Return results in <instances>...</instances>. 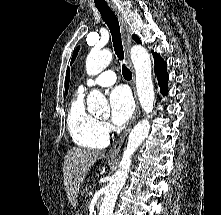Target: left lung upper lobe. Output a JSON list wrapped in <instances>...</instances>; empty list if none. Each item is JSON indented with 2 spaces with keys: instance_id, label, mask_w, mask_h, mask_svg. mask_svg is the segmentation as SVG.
<instances>
[{
  "instance_id": "1",
  "label": "left lung upper lobe",
  "mask_w": 221,
  "mask_h": 215,
  "mask_svg": "<svg viewBox=\"0 0 221 215\" xmlns=\"http://www.w3.org/2000/svg\"><path fill=\"white\" fill-rule=\"evenodd\" d=\"M132 37H133V39H134L136 42L141 43L140 39H139L136 35H133ZM78 51H79V46H78V47L76 48V50L74 51V54H73L72 60H71V64H72L73 61L75 60V58H76V56H77V54H78Z\"/></svg>"
}]
</instances>
